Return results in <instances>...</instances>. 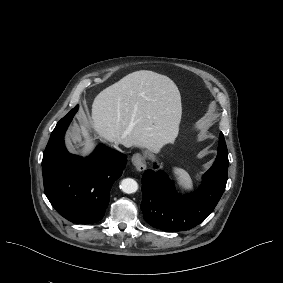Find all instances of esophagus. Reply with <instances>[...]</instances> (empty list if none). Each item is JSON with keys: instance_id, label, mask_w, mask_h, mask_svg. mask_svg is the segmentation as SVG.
Segmentation results:
<instances>
[{"instance_id": "34e87169", "label": "esophagus", "mask_w": 283, "mask_h": 283, "mask_svg": "<svg viewBox=\"0 0 283 283\" xmlns=\"http://www.w3.org/2000/svg\"><path fill=\"white\" fill-rule=\"evenodd\" d=\"M132 164L134 165V167L139 170V171H143L146 169V158L145 156H143L140 153H136L132 156Z\"/></svg>"}]
</instances>
